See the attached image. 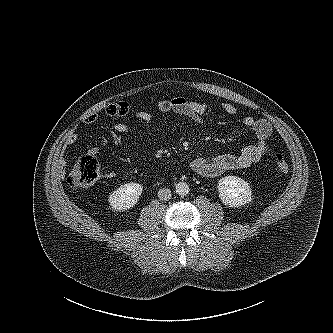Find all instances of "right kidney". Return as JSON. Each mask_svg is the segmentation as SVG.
Masks as SVG:
<instances>
[{
    "label": "right kidney",
    "mask_w": 333,
    "mask_h": 333,
    "mask_svg": "<svg viewBox=\"0 0 333 333\" xmlns=\"http://www.w3.org/2000/svg\"><path fill=\"white\" fill-rule=\"evenodd\" d=\"M143 186L130 182L121 185L108 198L109 205L114 211H126L134 207L142 194Z\"/></svg>",
    "instance_id": "1"
}]
</instances>
